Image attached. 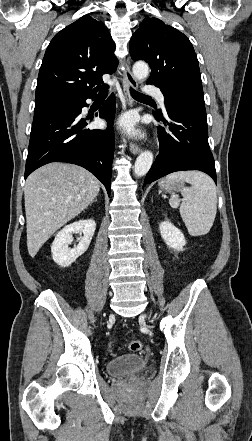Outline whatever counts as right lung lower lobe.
Masks as SVG:
<instances>
[{
  "mask_svg": "<svg viewBox=\"0 0 252 441\" xmlns=\"http://www.w3.org/2000/svg\"><path fill=\"white\" fill-rule=\"evenodd\" d=\"M95 96L96 93L58 95L48 105L34 110L25 178L47 163L68 162L93 173L110 195L115 97L111 95L99 110V116L108 123L107 130L84 129L87 122L80 117L81 109L87 106L86 99Z\"/></svg>",
  "mask_w": 252,
  "mask_h": 441,
  "instance_id": "right-lung-lower-lobe-1",
  "label": "right lung lower lobe"
}]
</instances>
